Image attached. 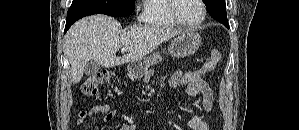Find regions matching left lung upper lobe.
I'll use <instances>...</instances> for the list:
<instances>
[{
    "instance_id": "1",
    "label": "left lung upper lobe",
    "mask_w": 299,
    "mask_h": 130,
    "mask_svg": "<svg viewBox=\"0 0 299 130\" xmlns=\"http://www.w3.org/2000/svg\"><path fill=\"white\" fill-rule=\"evenodd\" d=\"M208 12L219 22H228L225 0H203Z\"/></svg>"
}]
</instances>
